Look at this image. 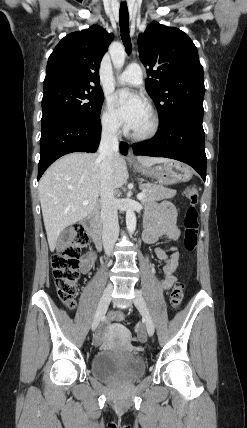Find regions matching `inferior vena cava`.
Masks as SVG:
<instances>
[{
	"label": "inferior vena cava",
	"mask_w": 247,
	"mask_h": 428,
	"mask_svg": "<svg viewBox=\"0 0 247 428\" xmlns=\"http://www.w3.org/2000/svg\"><path fill=\"white\" fill-rule=\"evenodd\" d=\"M117 124H112L102 131L99 146L98 162H100L101 179V218L103 220V245L107 255L119 236V224L117 214V201L114 197V188L111 183L113 172V159L118 155L119 143L117 138Z\"/></svg>",
	"instance_id": "inferior-vena-cava-1"
}]
</instances>
